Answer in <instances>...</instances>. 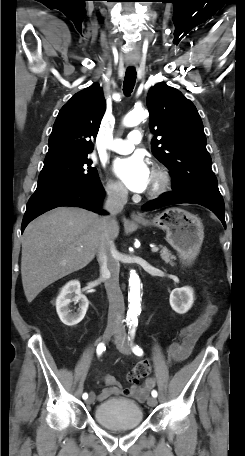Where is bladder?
<instances>
[{
  "mask_svg": "<svg viewBox=\"0 0 245 456\" xmlns=\"http://www.w3.org/2000/svg\"><path fill=\"white\" fill-rule=\"evenodd\" d=\"M94 418L105 428L130 430L141 425L143 412L141 407L131 400L110 398L96 406Z\"/></svg>",
  "mask_w": 245,
  "mask_h": 456,
  "instance_id": "bladder-1",
  "label": "bladder"
}]
</instances>
